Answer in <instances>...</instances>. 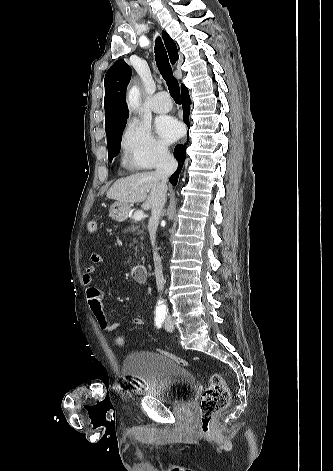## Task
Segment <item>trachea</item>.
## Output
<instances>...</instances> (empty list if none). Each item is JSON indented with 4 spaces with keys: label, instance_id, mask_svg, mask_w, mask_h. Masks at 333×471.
<instances>
[{
    "label": "trachea",
    "instance_id": "obj_1",
    "mask_svg": "<svg viewBox=\"0 0 333 471\" xmlns=\"http://www.w3.org/2000/svg\"><path fill=\"white\" fill-rule=\"evenodd\" d=\"M155 58L158 70L166 81L171 97L174 101L180 102L179 83L173 75L166 49L160 38L156 39L155 42Z\"/></svg>",
    "mask_w": 333,
    "mask_h": 471
}]
</instances>
